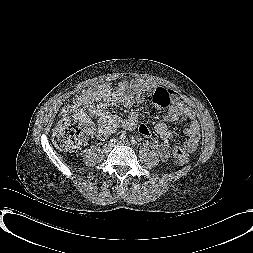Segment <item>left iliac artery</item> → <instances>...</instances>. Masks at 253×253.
Listing matches in <instances>:
<instances>
[{
  "label": "left iliac artery",
  "instance_id": "left-iliac-artery-1",
  "mask_svg": "<svg viewBox=\"0 0 253 253\" xmlns=\"http://www.w3.org/2000/svg\"><path fill=\"white\" fill-rule=\"evenodd\" d=\"M132 144H133V145H136V144H137V142H136L135 140H133V141H132Z\"/></svg>",
  "mask_w": 253,
  "mask_h": 253
}]
</instances>
